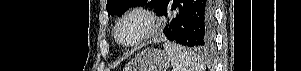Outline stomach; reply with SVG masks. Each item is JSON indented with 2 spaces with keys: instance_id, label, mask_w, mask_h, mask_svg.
<instances>
[{
  "instance_id": "1",
  "label": "stomach",
  "mask_w": 301,
  "mask_h": 71,
  "mask_svg": "<svg viewBox=\"0 0 301 71\" xmlns=\"http://www.w3.org/2000/svg\"><path fill=\"white\" fill-rule=\"evenodd\" d=\"M170 62L165 51L148 48L135 56L127 64L124 71H167Z\"/></svg>"
}]
</instances>
